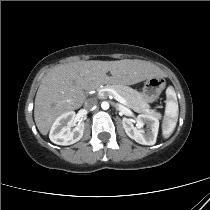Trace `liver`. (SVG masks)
Instances as JSON below:
<instances>
[{
	"mask_svg": "<svg viewBox=\"0 0 210 210\" xmlns=\"http://www.w3.org/2000/svg\"><path fill=\"white\" fill-rule=\"evenodd\" d=\"M160 74V69L153 64L131 59L80 60L57 66L42 79L38 88L34 106L36 126L42 135H47L60 115L83 105L84 90L107 83L133 85Z\"/></svg>",
	"mask_w": 210,
	"mask_h": 210,
	"instance_id": "obj_1",
	"label": "liver"
}]
</instances>
